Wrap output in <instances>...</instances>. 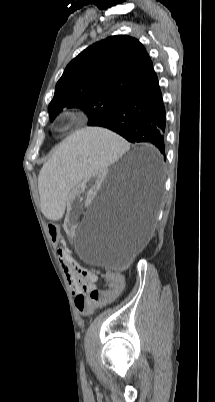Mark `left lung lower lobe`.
<instances>
[{"mask_svg":"<svg viewBox=\"0 0 215 402\" xmlns=\"http://www.w3.org/2000/svg\"><path fill=\"white\" fill-rule=\"evenodd\" d=\"M97 126L110 129L132 143H148L165 156V107L154 70L111 115ZM157 187L149 188L145 198L155 207Z\"/></svg>","mask_w":215,"mask_h":402,"instance_id":"0a47b994","label":"left lung lower lobe"}]
</instances>
